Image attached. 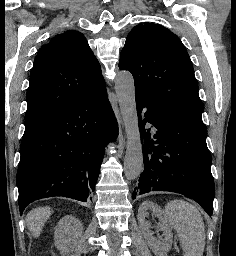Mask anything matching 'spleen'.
I'll return each mask as SVG.
<instances>
[{
    "label": "spleen",
    "instance_id": "3e777b00",
    "mask_svg": "<svg viewBox=\"0 0 236 256\" xmlns=\"http://www.w3.org/2000/svg\"><path fill=\"white\" fill-rule=\"evenodd\" d=\"M165 208L169 222L179 236L184 256H203L205 226L199 210L182 200L168 202Z\"/></svg>",
    "mask_w": 236,
    "mask_h": 256
}]
</instances>
